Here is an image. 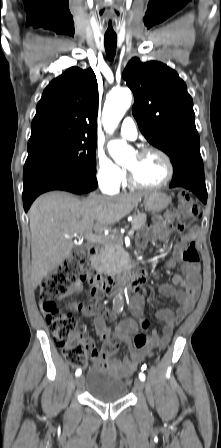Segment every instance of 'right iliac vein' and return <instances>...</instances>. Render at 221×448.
I'll return each mask as SVG.
<instances>
[{
	"mask_svg": "<svg viewBox=\"0 0 221 448\" xmlns=\"http://www.w3.org/2000/svg\"><path fill=\"white\" fill-rule=\"evenodd\" d=\"M82 385H83V376H80L76 379V386L80 388L82 387Z\"/></svg>",
	"mask_w": 221,
	"mask_h": 448,
	"instance_id": "obj_1",
	"label": "right iliac vein"
}]
</instances>
